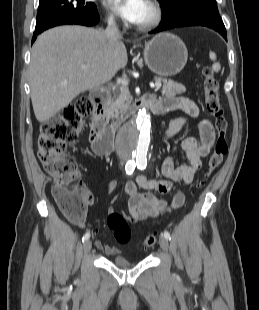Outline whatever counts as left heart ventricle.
I'll use <instances>...</instances> for the list:
<instances>
[{"label": "left heart ventricle", "instance_id": "obj_1", "mask_svg": "<svg viewBox=\"0 0 259 310\" xmlns=\"http://www.w3.org/2000/svg\"><path fill=\"white\" fill-rule=\"evenodd\" d=\"M152 15H153V11L151 7L149 6V4L145 1L141 9L138 21L135 24H144L148 22L152 18Z\"/></svg>", "mask_w": 259, "mask_h": 310}]
</instances>
